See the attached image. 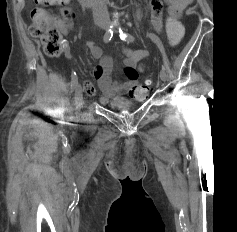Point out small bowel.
<instances>
[{
    "label": "small bowel",
    "instance_id": "small-bowel-1",
    "mask_svg": "<svg viewBox=\"0 0 237 232\" xmlns=\"http://www.w3.org/2000/svg\"><path fill=\"white\" fill-rule=\"evenodd\" d=\"M66 4L72 0H65ZM191 0H150V8L152 15V25L157 32L162 29V13L163 4L167 3V12L169 17L178 19L184 9L190 4ZM63 8L61 10L64 16ZM56 24L58 28L63 32L67 33L71 29L70 20L57 18ZM88 48L91 55L99 60L98 67L94 70V76L97 79L102 95L100 102L107 104L111 100L116 103H124L125 96L129 95L137 101L144 100L149 92V89L145 85L139 82V74L143 71L142 60L147 58L148 52L146 49L131 50L128 48L123 49L124 61L122 73L125 76V80L122 82H115L111 78L113 70V61L109 56H104L100 47L95 45L93 42L88 43ZM64 53L67 57L70 56V49L67 43L63 47ZM86 91L89 95L94 94V87L90 83H86Z\"/></svg>",
    "mask_w": 237,
    "mask_h": 232
}]
</instances>
